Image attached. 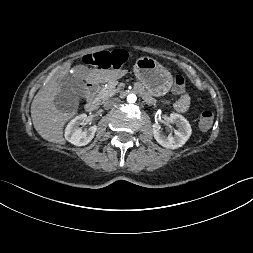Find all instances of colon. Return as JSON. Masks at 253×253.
Wrapping results in <instances>:
<instances>
[{"label": "colon", "mask_w": 253, "mask_h": 253, "mask_svg": "<svg viewBox=\"0 0 253 253\" xmlns=\"http://www.w3.org/2000/svg\"><path fill=\"white\" fill-rule=\"evenodd\" d=\"M127 57V53L122 50L102 51L93 54H87L82 58V61L86 65H98L103 66L108 63H123ZM186 81L185 77L181 74L175 76L173 92L175 94H185ZM214 119V114L210 110H204L200 114L199 126L202 130H208Z\"/></svg>", "instance_id": "colon-1"}]
</instances>
